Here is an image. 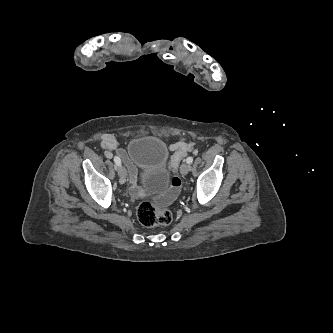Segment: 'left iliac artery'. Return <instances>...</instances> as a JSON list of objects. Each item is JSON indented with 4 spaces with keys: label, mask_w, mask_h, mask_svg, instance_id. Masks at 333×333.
Returning <instances> with one entry per match:
<instances>
[{
    "label": "left iliac artery",
    "mask_w": 333,
    "mask_h": 333,
    "mask_svg": "<svg viewBox=\"0 0 333 333\" xmlns=\"http://www.w3.org/2000/svg\"><path fill=\"white\" fill-rule=\"evenodd\" d=\"M186 162L188 163V164H191L192 162H193V158L190 156V157H188L187 159H186Z\"/></svg>",
    "instance_id": "1"
}]
</instances>
